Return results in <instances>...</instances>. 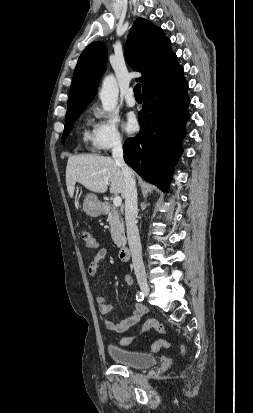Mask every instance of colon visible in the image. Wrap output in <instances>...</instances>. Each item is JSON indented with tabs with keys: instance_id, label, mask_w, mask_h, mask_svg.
<instances>
[{
	"instance_id": "obj_1",
	"label": "colon",
	"mask_w": 253,
	"mask_h": 413,
	"mask_svg": "<svg viewBox=\"0 0 253 413\" xmlns=\"http://www.w3.org/2000/svg\"><path fill=\"white\" fill-rule=\"evenodd\" d=\"M81 239L83 241V244L85 247L90 248V249H94L97 247V242L96 239L88 232V231H81ZM155 330L159 333L164 334L166 332L165 326L163 325V323L159 322L158 320L155 319H148L142 326L141 330H140V334H143L149 330ZM135 339V337H124L121 340V343L123 345H129L133 342V340ZM169 347V343L165 340H159L157 342H155L152 346L151 349L153 351H157L161 348H167ZM184 350V349H182Z\"/></svg>"
}]
</instances>
